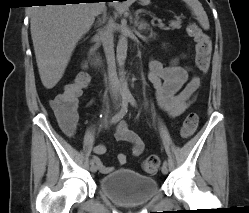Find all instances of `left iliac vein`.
<instances>
[{
	"mask_svg": "<svg viewBox=\"0 0 249 213\" xmlns=\"http://www.w3.org/2000/svg\"><path fill=\"white\" fill-rule=\"evenodd\" d=\"M161 171H162L163 174H167L168 173V167H167V165L163 164V166L161 168Z\"/></svg>",
	"mask_w": 249,
	"mask_h": 213,
	"instance_id": "1",
	"label": "left iliac vein"
}]
</instances>
